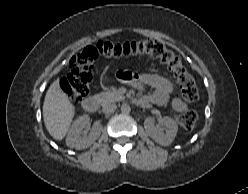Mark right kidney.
I'll use <instances>...</instances> for the list:
<instances>
[{
  "mask_svg": "<svg viewBox=\"0 0 248 194\" xmlns=\"http://www.w3.org/2000/svg\"><path fill=\"white\" fill-rule=\"evenodd\" d=\"M89 126V116H80L71 126L67 138L66 145L77 150L85 149L91 146L100 136L103 126L95 123L88 136L84 134V129Z\"/></svg>",
  "mask_w": 248,
  "mask_h": 194,
  "instance_id": "right-kidney-1",
  "label": "right kidney"
}]
</instances>
